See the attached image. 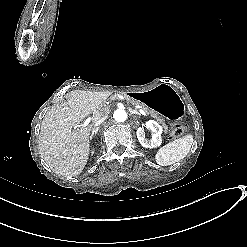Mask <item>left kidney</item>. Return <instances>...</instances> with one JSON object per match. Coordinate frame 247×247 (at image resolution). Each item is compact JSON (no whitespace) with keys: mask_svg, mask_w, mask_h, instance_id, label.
I'll return each instance as SVG.
<instances>
[{"mask_svg":"<svg viewBox=\"0 0 247 247\" xmlns=\"http://www.w3.org/2000/svg\"><path fill=\"white\" fill-rule=\"evenodd\" d=\"M145 126L151 133V139H145L142 127H138L136 131V136L139 143L144 148H157L161 143L162 128L156 122L151 120L146 121Z\"/></svg>","mask_w":247,"mask_h":247,"instance_id":"left-kidney-1","label":"left kidney"}]
</instances>
